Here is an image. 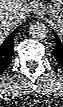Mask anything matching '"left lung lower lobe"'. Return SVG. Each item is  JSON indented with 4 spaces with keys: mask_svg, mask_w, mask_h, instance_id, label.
<instances>
[{
    "mask_svg": "<svg viewBox=\"0 0 63 107\" xmlns=\"http://www.w3.org/2000/svg\"><path fill=\"white\" fill-rule=\"evenodd\" d=\"M56 48L54 51L55 59L58 61L59 66L63 69V43H61L59 37L54 33Z\"/></svg>",
    "mask_w": 63,
    "mask_h": 107,
    "instance_id": "1",
    "label": "left lung lower lobe"
}]
</instances>
